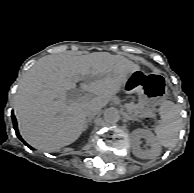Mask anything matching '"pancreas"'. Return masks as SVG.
I'll list each match as a JSON object with an SVG mask.
<instances>
[{
	"instance_id": "1",
	"label": "pancreas",
	"mask_w": 194,
	"mask_h": 193,
	"mask_svg": "<svg viewBox=\"0 0 194 193\" xmlns=\"http://www.w3.org/2000/svg\"><path fill=\"white\" fill-rule=\"evenodd\" d=\"M126 110L130 113L131 117L136 116L138 119L145 118L153 114L152 110L145 109L142 106H138L134 102H130L129 104H127Z\"/></svg>"
}]
</instances>
